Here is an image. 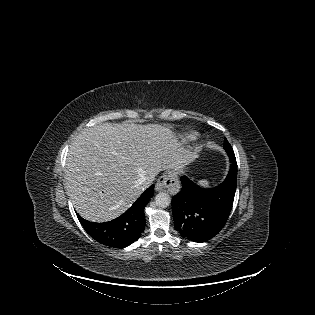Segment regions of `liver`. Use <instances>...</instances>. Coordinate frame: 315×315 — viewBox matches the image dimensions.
Wrapping results in <instances>:
<instances>
[{"label": "liver", "instance_id": "obj_1", "mask_svg": "<svg viewBox=\"0 0 315 315\" xmlns=\"http://www.w3.org/2000/svg\"><path fill=\"white\" fill-rule=\"evenodd\" d=\"M191 157L168 127L102 123L83 130L71 143L65 188L83 218L106 222L142 194L144 179L164 169L180 171Z\"/></svg>", "mask_w": 315, "mask_h": 315}]
</instances>
